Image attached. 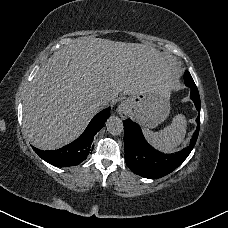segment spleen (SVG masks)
Wrapping results in <instances>:
<instances>
[{
  "label": "spleen",
  "mask_w": 228,
  "mask_h": 228,
  "mask_svg": "<svg viewBox=\"0 0 228 228\" xmlns=\"http://www.w3.org/2000/svg\"><path fill=\"white\" fill-rule=\"evenodd\" d=\"M187 128V120L183 114L176 115L172 123L160 130L153 132L149 129H144V135L151 145L165 153L172 152L179 146L185 138Z\"/></svg>",
  "instance_id": "3e777b00"
}]
</instances>
